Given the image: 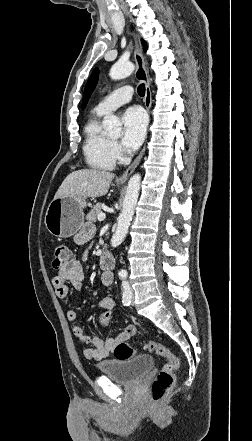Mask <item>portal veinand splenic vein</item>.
I'll use <instances>...</instances> for the list:
<instances>
[{"label": "portal vein and splenic vein", "mask_w": 252, "mask_h": 441, "mask_svg": "<svg viewBox=\"0 0 252 441\" xmlns=\"http://www.w3.org/2000/svg\"><path fill=\"white\" fill-rule=\"evenodd\" d=\"M97 218H98V221H103V220H105L106 215L104 213H100V214H98Z\"/></svg>", "instance_id": "18ae733b"}]
</instances>
